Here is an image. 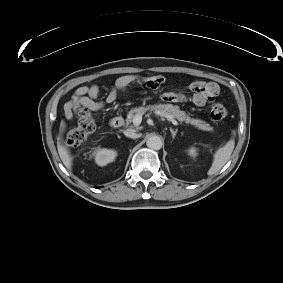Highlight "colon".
<instances>
[{
	"label": "colon",
	"mask_w": 283,
	"mask_h": 283,
	"mask_svg": "<svg viewBox=\"0 0 283 283\" xmlns=\"http://www.w3.org/2000/svg\"><path fill=\"white\" fill-rule=\"evenodd\" d=\"M210 118L213 121H221L227 116V110L222 104H214L210 109ZM96 128L94 116L87 109H81L78 113L77 124L70 128L63 139L68 144H78L82 142Z\"/></svg>",
	"instance_id": "obj_1"
}]
</instances>
